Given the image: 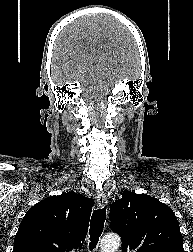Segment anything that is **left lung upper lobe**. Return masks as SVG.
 <instances>
[{
  "instance_id": "5c2ea615",
  "label": "left lung upper lobe",
  "mask_w": 193,
  "mask_h": 252,
  "mask_svg": "<svg viewBox=\"0 0 193 252\" xmlns=\"http://www.w3.org/2000/svg\"><path fill=\"white\" fill-rule=\"evenodd\" d=\"M110 211L111 229L122 238V252H184L174 212L156 198L125 191Z\"/></svg>"
}]
</instances>
